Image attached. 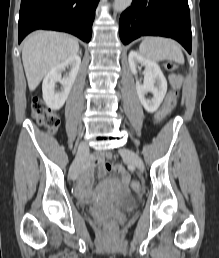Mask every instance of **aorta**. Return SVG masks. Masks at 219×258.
<instances>
[{
  "label": "aorta",
  "instance_id": "762f6f07",
  "mask_svg": "<svg viewBox=\"0 0 219 258\" xmlns=\"http://www.w3.org/2000/svg\"><path fill=\"white\" fill-rule=\"evenodd\" d=\"M132 0H114L113 9L116 12H122L128 8Z\"/></svg>",
  "mask_w": 219,
  "mask_h": 258
}]
</instances>
